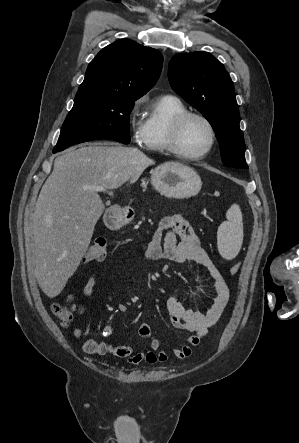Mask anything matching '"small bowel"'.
Listing matches in <instances>:
<instances>
[{"instance_id":"obj_1","label":"small bowel","mask_w":299,"mask_h":443,"mask_svg":"<svg viewBox=\"0 0 299 443\" xmlns=\"http://www.w3.org/2000/svg\"><path fill=\"white\" fill-rule=\"evenodd\" d=\"M177 238L180 240L178 241ZM143 254L148 260L166 259L176 263L195 262L203 266L213 280L215 297L212 305L206 312H198L185 307L183 301L176 296L167 301V309L172 326L182 332L190 334L188 341L181 348L174 349L173 355L183 359L191 355L193 348L198 345L200 339L216 325L221 318L230 292L224 277L213 263L207 251L195 231L187 220L181 215L166 216L161 219L152 239L144 246ZM97 280V274L92 273L83 287L85 297L92 294ZM118 311L126 314L128 308L124 304L118 305ZM85 312L83 305H79L77 313ZM102 335L109 337L114 333V326L106 324L102 329ZM75 338L79 341L83 352L87 354L112 355L118 358H126L129 363L149 364L164 362L168 359V353L160 350L161 342L154 338L151 329L146 322L139 327V335L148 342L149 350L137 351L130 346H119L110 341L99 342L86 337L87 331L75 328Z\"/></svg>"}]
</instances>
